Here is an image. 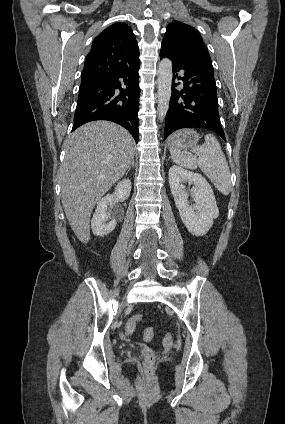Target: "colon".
Masks as SVG:
<instances>
[{
	"label": "colon",
	"instance_id": "5ec220e1",
	"mask_svg": "<svg viewBox=\"0 0 285 424\" xmlns=\"http://www.w3.org/2000/svg\"><path fill=\"white\" fill-rule=\"evenodd\" d=\"M141 319H142V316L139 315V314L132 316L129 319V321L127 322L126 326H125V333L126 334H133L134 331L136 330V327H137L138 323L141 321ZM153 336H154V330H153V328H147L144 331L143 338L146 341H150L153 338ZM163 343L165 345H171L173 343V336L171 334H166L164 336ZM145 360L148 363H151L154 360V354H153L152 351H147L146 352V354H145Z\"/></svg>",
	"mask_w": 285,
	"mask_h": 424
}]
</instances>
